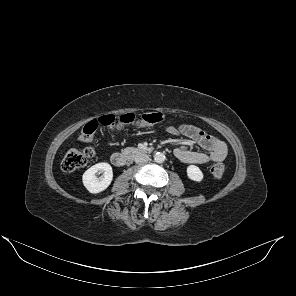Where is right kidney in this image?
<instances>
[{"instance_id":"right-kidney-1","label":"right kidney","mask_w":296,"mask_h":296,"mask_svg":"<svg viewBox=\"0 0 296 296\" xmlns=\"http://www.w3.org/2000/svg\"><path fill=\"white\" fill-rule=\"evenodd\" d=\"M98 171L103 172L101 178H97L96 176ZM112 179L113 171L111 165L108 163L95 164L86 170L82 176L84 186L92 194H97L107 189Z\"/></svg>"}]
</instances>
